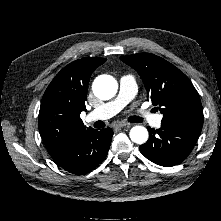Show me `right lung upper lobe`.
Returning <instances> with one entry per match:
<instances>
[{"instance_id": "cb5924a9", "label": "right lung upper lobe", "mask_w": 221, "mask_h": 221, "mask_svg": "<svg viewBox=\"0 0 221 221\" xmlns=\"http://www.w3.org/2000/svg\"><path fill=\"white\" fill-rule=\"evenodd\" d=\"M106 61L85 57L65 66L47 87L40 106L38 127L51 156L87 131L80 118L86 111L88 84L92 72Z\"/></svg>"}]
</instances>
